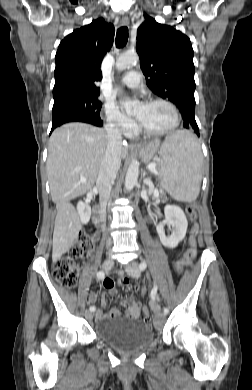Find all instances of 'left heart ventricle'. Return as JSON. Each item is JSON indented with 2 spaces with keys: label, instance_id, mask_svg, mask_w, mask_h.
<instances>
[{
  "label": "left heart ventricle",
  "instance_id": "obj_1",
  "mask_svg": "<svg viewBox=\"0 0 252 390\" xmlns=\"http://www.w3.org/2000/svg\"><path fill=\"white\" fill-rule=\"evenodd\" d=\"M135 118L147 129L165 130L174 122V114L169 106L163 103L141 104L135 111Z\"/></svg>",
  "mask_w": 252,
  "mask_h": 390
}]
</instances>
